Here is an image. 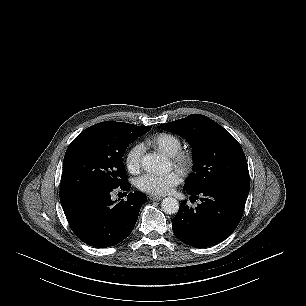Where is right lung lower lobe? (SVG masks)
<instances>
[{
    "instance_id": "1",
    "label": "right lung lower lobe",
    "mask_w": 306,
    "mask_h": 306,
    "mask_svg": "<svg viewBox=\"0 0 306 306\" xmlns=\"http://www.w3.org/2000/svg\"><path fill=\"white\" fill-rule=\"evenodd\" d=\"M129 183L121 186L128 191ZM112 188H94L60 200L72 231L86 244L105 248L129 236L137 221L146 195L135 191L127 201L111 199Z\"/></svg>"
}]
</instances>
